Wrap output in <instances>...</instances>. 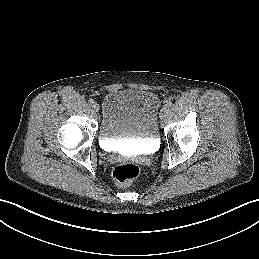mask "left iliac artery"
Returning a JSON list of instances; mask_svg holds the SVG:
<instances>
[{
    "label": "left iliac artery",
    "mask_w": 259,
    "mask_h": 259,
    "mask_svg": "<svg viewBox=\"0 0 259 259\" xmlns=\"http://www.w3.org/2000/svg\"><path fill=\"white\" fill-rule=\"evenodd\" d=\"M165 106L168 108L171 107L172 106L171 100H167Z\"/></svg>",
    "instance_id": "left-iliac-artery-1"
}]
</instances>
